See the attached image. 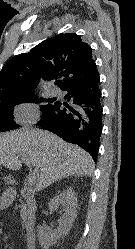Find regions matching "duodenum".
Returning a JSON list of instances; mask_svg holds the SVG:
<instances>
[{
    "mask_svg": "<svg viewBox=\"0 0 135 249\" xmlns=\"http://www.w3.org/2000/svg\"><path fill=\"white\" fill-rule=\"evenodd\" d=\"M20 195H21L24 199H26L27 201H29V202L31 203V200H32V198H33V193H32V191H31L29 188H27V187L22 188V189L20 190ZM33 228H34L33 222H32V221H29L28 224H27V229H28L29 231H32ZM34 243H35V241H34L33 237L30 235V236H29V239H28V244H29V246H30V247H33V246H34Z\"/></svg>",
    "mask_w": 135,
    "mask_h": 249,
    "instance_id": "duodenum-1",
    "label": "duodenum"
}]
</instances>
